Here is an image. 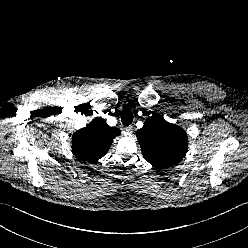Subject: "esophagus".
I'll list each match as a JSON object with an SVG mask.
<instances>
[{
  "label": "esophagus",
  "mask_w": 248,
  "mask_h": 248,
  "mask_svg": "<svg viewBox=\"0 0 248 248\" xmlns=\"http://www.w3.org/2000/svg\"><path fill=\"white\" fill-rule=\"evenodd\" d=\"M134 131V127L133 126H127L124 128V132L127 134V135H131Z\"/></svg>",
  "instance_id": "esophagus-1"
}]
</instances>
